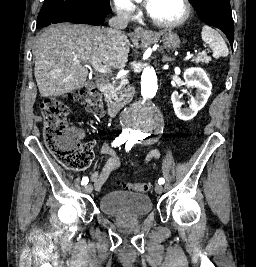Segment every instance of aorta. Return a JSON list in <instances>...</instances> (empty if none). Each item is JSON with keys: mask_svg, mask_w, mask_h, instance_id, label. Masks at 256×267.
<instances>
[{"mask_svg": "<svg viewBox=\"0 0 256 267\" xmlns=\"http://www.w3.org/2000/svg\"><path fill=\"white\" fill-rule=\"evenodd\" d=\"M141 75L142 94L144 100H151L157 91L156 72L153 66H146ZM140 101L133 104V108H127L126 117H122V127H158V122H164V117H159L160 108H154V104H146ZM127 133H154V128H127ZM142 143H159V138H142Z\"/></svg>", "mask_w": 256, "mask_h": 267, "instance_id": "obj_1", "label": "aorta"}]
</instances>
